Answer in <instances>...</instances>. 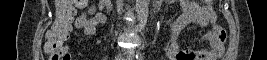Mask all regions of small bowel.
Masks as SVG:
<instances>
[{
	"label": "small bowel",
	"instance_id": "c3829d8e",
	"mask_svg": "<svg viewBox=\"0 0 267 60\" xmlns=\"http://www.w3.org/2000/svg\"><path fill=\"white\" fill-rule=\"evenodd\" d=\"M104 1H99L101 9L105 10L108 6ZM184 12L172 24L169 38L165 48V54L161 57L163 60H216L224 52L226 41V32L219 24L216 14L213 11L212 3L205 2L200 5L194 1H182ZM80 8H85L86 4H76ZM97 6L91 5L84 9L76 21L77 28L81 29L86 36H92L96 32V27L102 25L106 16L103 13L96 12ZM85 23L86 26H82ZM189 24L200 26H209L210 30L205 33L199 42L209 44L208 49L192 51L188 48L181 51L177 44V36Z\"/></svg>",
	"mask_w": 267,
	"mask_h": 60
}]
</instances>
